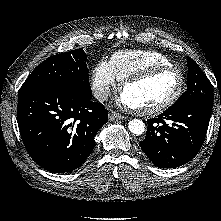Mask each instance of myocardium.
Masks as SVG:
<instances>
[{
  "label": "myocardium",
  "mask_w": 221,
  "mask_h": 221,
  "mask_svg": "<svg viewBox=\"0 0 221 221\" xmlns=\"http://www.w3.org/2000/svg\"><path fill=\"white\" fill-rule=\"evenodd\" d=\"M166 71H174L179 75V85H178L176 92L170 98H168L166 101H164L158 105L148 107V108H142V109L130 107L132 111H134L136 114H139V115L156 114V113H159V112H162V111L168 109L169 107H171L173 104H175L178 101V99L181 97V95L184 91L185 84H186V78H185L183 71L174 65L155 66V67H151V68L145 69L143 71H140L138 73H135V74L125 78L121 82L120 92H121V94H123L124 90L128 86L135 84V83L142 82L146 79L153 77L154 75H157L159 73L166 72Z\"/></svg>",
  "instance_id": "myocardium-1"
}]
</instances>
